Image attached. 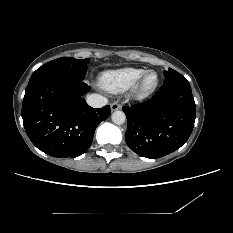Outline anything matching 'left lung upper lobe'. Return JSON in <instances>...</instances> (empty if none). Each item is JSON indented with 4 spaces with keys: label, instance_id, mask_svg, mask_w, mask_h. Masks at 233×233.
Returning <instances> with one entry per match:
<instances>
[{
    "label": "left lung upper lobe",
    "instance_id": "obj_1",
    "mask_svg": "<svg viewBox=\"0 0 233 233\" xmlns=\"http://www.w3.org/2000/svg\"><path fill=\"white\" fill-rule=\"evenodd\" d=\"M175 73H177L175 70L169 68L168 71L164 72V75L167 78V77H169V76H171L172 74H175Z\"/></svg>",
    "mask_w": 233,
    "mask_h": 233
}]
</instances>
